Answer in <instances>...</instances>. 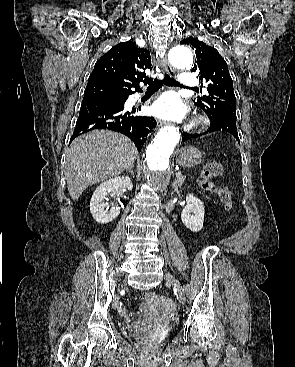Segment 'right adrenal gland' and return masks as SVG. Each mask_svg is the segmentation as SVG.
Masks as SVG:
<instances>
[{
	"label": "right adrenal gland",
	"instance_id": "right-adrenal-gland-1",
	"mask_svg": "<svg viewBox=\"0 0 295 367\" xmlns=\"http://www.w3.org/2000/svg\"><path fill=\"white\" fill-rule=\"evenodd\" d=\"M126 172L130 173V175L132 177H134V172H133V167L132 166L130 168L126 169Z\"/></svg>",
	"mask_w": 295,
	"mask_h": 367
}]
</instances>
